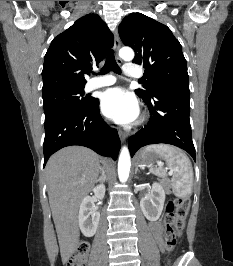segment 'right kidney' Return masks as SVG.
<instances>
[{"label":"right kidney","instance_id":"right-kidney-1","mask_svg":"<svg viewBox=\"0 0 233 266\" xmlns=\"http://www.w3.org/2000/svg\"><path fill=\"white\" fill-rule=\"evenodd\" d=\"M93 191L97 198L102 199L105 194V186L99 185L95 187ZM78 219L83 235L92 237L96 233L100 220V213L94 209V201L91 197L87 196L82 200Z\"/></svg>","mask_w":233,"mask_h":266}]
</instances>
